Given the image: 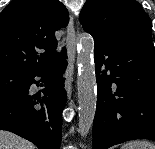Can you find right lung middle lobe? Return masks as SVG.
Instances as JSON below:
<instances>
[{"label":"right lung middle lobe","mask_w":155,"mask_h":149,"mask_svg":"<svg viewBox=\"0 0 155 149\" xmlns=\"http://www.w3.org/2000/svg\"><path fill=\"white\" fill-rule=\"evenodd\" d=\"M29 75L13 69H0V93H20L28 86Z\"/></svg>","instance_id":"dd1d6c3e"}]
</instances>
